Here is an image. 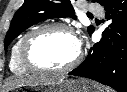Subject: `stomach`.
Instances as JSON below:
<instances>
[{"instance_id":"0dacf381","label":"stomach","mask_w":127,"mask_h":92,"mask_svg":"<svg viewBox=\"0 0 127 92\" xmlns=\"http://www.w3.org/2000/svg\"><path fill=\"white\" fill-rule=\"evenodd\" d=\"M39 90V88H35ZM18 92V91H15ZM44 92H96L93 84L87 79H63L44 87Z\"/></svg>"}]
</instances>
